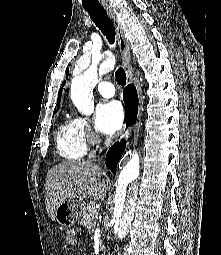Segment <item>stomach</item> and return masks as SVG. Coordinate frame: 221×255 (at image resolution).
<instances>
[{"mask_svg": "<svg viewBox=\"0 0 221 255\" xmlns=\"http://www.w3.org/2000/svg\"><path fill=\"white\" fill-rule=\"evenodd\" d=\"M85 202L80 198H70L62 202L55 210V220L64 227L73 226L80 220Z\"/></svg>", "mask_w": 221, "mask_h": 255, "instance_id": "stomach-1", "label": "stomach"}]
</instances>
